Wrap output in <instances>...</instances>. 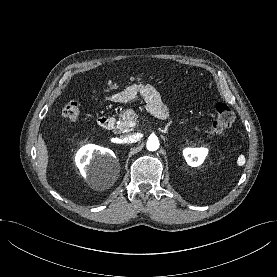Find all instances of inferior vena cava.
<instances>
[{"label":"inferior vena cava","instance_id":"inferior-vena-cava-1","mask_svg":"<svg viewBox=\"0 0 277 277\" xmlns=\"http://www.w3.org/2000/svg\"><path fill=\"white\" fill-rule=\"evenodd\" d=\"M124 143H134L139 140L137 134H128L122 137Z\"/></svg>","mask_w":277,"mask_h":277}]
</instances>
